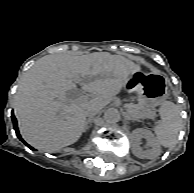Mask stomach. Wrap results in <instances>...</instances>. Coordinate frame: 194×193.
I'll return each instance as SVG.
<instances>
[{
  "instance_id": "obj_1",
  "label": "stomach",
  "mask_w": 194,
  "mask_h": 193,
  "mask_svg": "<svg viewBox=\"0 0 194 193\" xmlns=\"http://www.w3.org/2000/svg\"><path fill=\"white\" fill-rule=\"evenodd\" d=\"M127 88L137 93L138 106L142 110L162 104L169 95L166 78L156 73L135 72L131 75Z\"/></svg>"
}]
</instances>
